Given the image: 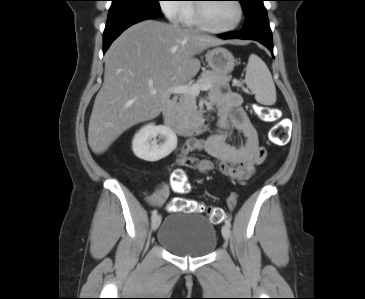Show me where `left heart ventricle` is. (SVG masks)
<instances>
[{"mask_svg": "<svg viewBox=\"0 0 365 299\" xmlns=\"http://www.w3.org/2000/svg\"><path fill=\"white\" fill-rule=\"evenodd\" d=\"M206 16L211 26L227 28L235 24L238 19V8L234 1L225 3H205Z\"/></svg>", "mask_w": 365, "mask_h": 299, "instance_id": "obj_1", "label": "left heart ventricle"}]
</instances>
